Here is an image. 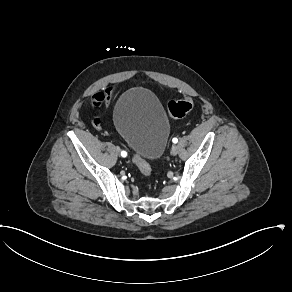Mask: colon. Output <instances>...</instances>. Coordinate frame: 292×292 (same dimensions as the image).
I'll list each match as a JSON object with an SVG mask.
<instances>
[{
	"mask_svg": "<svg viewBox=\"0 0 292 292\" xmlns=\"http://www.w3.org/2000/svg\"><path fill=\"white\" fill-rule=\"evenodd\" d=\"M105 100V95L101 92L96 93L93 96L92 102L89 107L95 110L98 105H101ZM193 108V100L189 97H184L182 99L170 100L167 103V115L171 118H182ZM92 125L95 129L99 130L101 128V121L98 117L92 119ZM133 162L137 166L140 174L145 178L151 177V167L150 164L145 159L141 152H136L133 156Z\"/></svg>",
	"mask_w": 292,
	"mask_h": 292,
	"instance_id": "1",
	"label": "colon"
}]
</instances>
